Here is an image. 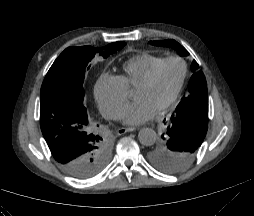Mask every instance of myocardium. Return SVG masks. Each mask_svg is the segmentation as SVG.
<instances>
[{
	"mask_svg": "<svg viewBox=\"0 0 254 216\" xmlns=\"http://www.w3.org/2000/svg\"><path fill=\"white\" fill-rule=\"evenodd\" d=\"M169 62H177L180 64L181 76H180V80L177 85V88H176L173 96L171 97V99L157 110V112L159 114L165 113L170 108H172L175 105V103L177 102V100L181 94L187 73H188V66H187L186 61L180 56H170V57L164 58L161 62H159L153 68V70L148 74V76L143 81H141L135 88V89H137V88H143V87L150 86L157 78L162 67Z\"/></svg>",
	"mask_w": 254,
	"mask_h": 216,
	"instance_id": "1",
	"label": "myocardium"
}]
</instances>
